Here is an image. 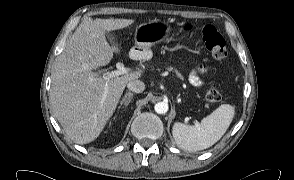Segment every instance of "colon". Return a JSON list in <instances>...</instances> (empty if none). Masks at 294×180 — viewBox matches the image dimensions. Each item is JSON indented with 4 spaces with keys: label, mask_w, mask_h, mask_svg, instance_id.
<instances>
[{
    "label": "colon",
    "mask_w": 294,
    "mask_h": 180,
    "mask_svg": "<svg viewBox=\"0 0 294 180\" xmlns=\"http://www.w3.org/2000/svg\"><path fill=\"white\" fill-rule=\"evenodd\" d=\"M202 37L211 51L214 58L218 60H224L228 57V51L225 48V43L221 35L217 32L215 27L207 25L202 29ZM219 98V92L217 86L213 83L209 86L205 99L209 102H216Z\"/></svg>",
    "instance_id": "colon-1"
}]
</instances>
